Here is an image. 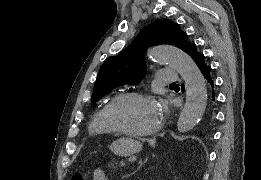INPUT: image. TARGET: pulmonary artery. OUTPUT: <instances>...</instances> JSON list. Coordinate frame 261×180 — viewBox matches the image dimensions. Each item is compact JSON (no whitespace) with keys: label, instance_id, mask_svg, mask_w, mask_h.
I'll return each mask as SVG.
<instances>
[{"label":"pulmonary artery","instance_id":"e3ab8cb5","mask_svg":"<svg viewBox=\"0 0 261 180\" xmlns=\"http://www.w3.org/2000/svg\"><path fill=\"white\" fill-rule=\"evenodd\" d=\"M157 77H182V72H168V67H159ZM156 83H184V78H156Z\"/></svg>","mask_w":261,"mask_h":180}]
</instances>
